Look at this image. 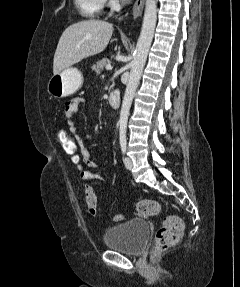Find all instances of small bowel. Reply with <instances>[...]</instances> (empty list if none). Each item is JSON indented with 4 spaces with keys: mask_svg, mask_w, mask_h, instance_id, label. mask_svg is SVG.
Returning <instances> with one entry per match:
<instances>
[{
    "mask_svg": "<svg viewBox=\"0 0 240 287\" xmlns=\"http://www.w3.org/2000/svg\"><path fill=\"white\" fill-rule=\"evenodd\" d=\"M82 101L83 100L81 98H74V99L70 100L69 102H67L65 104L64 109H63V115L68 120L70 129L76 137L78 147L80 150V155H81L84 163L86 164V166L90 169L92 179L93 180H102V177L99 174L92 171V169H96L100 166L99 163L92 158L89 149L81 142V140L77 134L76 116H77L78 109H79V106L82 103Z\"/></svg>",
    "mask_w": 240,
    "mask_h": 287,
    "instance_id": "obj_1",
    "label": "small bowel"
}]
</instances>
